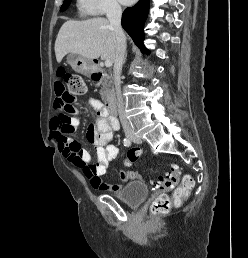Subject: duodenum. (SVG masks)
Wrapping results in <instances>:
<instances>
[{"instance_id":"1","label":"duodenum","mask_w":248,"mask_h":258,"mask_svg":"<svg viewBox=\"0 0 248 258\" xmlns=\"http://www.w3.org/2000/svg\"><path fill=\"white\" fill-rule=\"evenodd\" d=\"M102 75H103V73H102L101 69L97 65H95L93 72H92L93 79L97 81V80L101 79ZM106 110H107V113L109 116H111L113 118L116 116L117 106H116V99H115L114 95H110L107 98Z\"/></svg>"}]
</instances>
